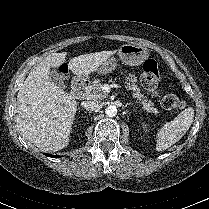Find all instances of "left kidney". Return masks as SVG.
<instances>
[{
    "mask_svg": "<svg viewBox=\"0 0 209 209\" xmlns=\"http://www.w3.org/2000/svg\"><path fill=\"white\" fill-rule=\"evenodd\" d=\"M143 128H144V129L146 128V130H147V125H146V124H143Z\"/></svg>",
    "mask_w": 209,
    "mask_h": 209,
    "instance_id": "left-kidney-1",
    "label": "left kidney"
}]
</instances>
